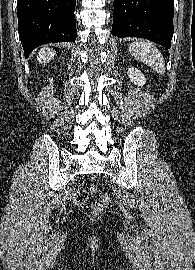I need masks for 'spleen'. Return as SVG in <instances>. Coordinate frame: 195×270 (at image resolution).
Masks as SVG:
<instances>
[{
    "mask_svg": "<svg viewBox=\"0 0 195 270\" xmlns=\"http://www.w3.org/2000/svg\"><path fill=\"white\" fill-rule=\"evenodd\" d=\"M129 52L139 61L152 67L159 74L165 73V61L160 51L147 41H136L129 45Z\"/></svg>",
    "mask_w": 195,
    "mask_h": 270,
    "instance_id": "spleen-1",
    "label": "spleen"
}]
</instances>
